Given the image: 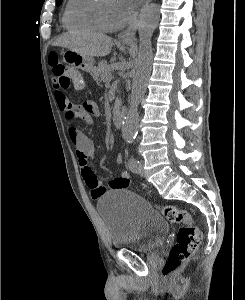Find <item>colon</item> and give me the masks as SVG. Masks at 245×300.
Returning a JSON list of instances; mask_svg holds the SVG:
<instances>
[{
    "label": "colon",
    "instance_id": "5ec220e1",
    "mask_svg": "<svg viewBox=\"0 0 245 300\" xmlns=\"http://www.w3.org/2000/svg\"><path fill=\"white\" fill-rule=\"evenodd\" d=\"M49 65L62 88L72 87L80 90L84 87L82 75L76 69L61 63L56 54L50 55ZM160 211L170 223L182 225L162 268V274L167 278L172 276L197 249L202 239V232L188 211L173 205L161 206Z\"/></svg>",
    "mask_w": 245,
    "mask_h": 300
}]
</instances>
